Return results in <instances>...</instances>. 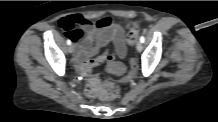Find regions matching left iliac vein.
<instances>
[{
  "mask_svg": "<svg viewBox=\"0 0 218 122\" xmlns=\"http://www.w3.org/2000/svg\"><path fill=\"white\" fill-rule=\"evenodd\" d=\"M136 49L138 52H141L143 50V45H142L141 41L137 42Z\"/></svg>",
  "mask_w": 218,
  "mask_h": 122,
  "instance_id": "1",
  "label": "left iliac vein"
}]
</instances>
